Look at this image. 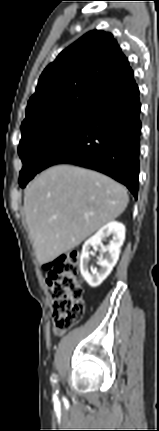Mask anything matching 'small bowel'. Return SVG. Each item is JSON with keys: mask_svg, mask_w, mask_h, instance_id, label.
<instances>
[{"mask_svg": "<svg viewBox=\"0 0 159 431\" xmlns=\"http://www.w3.org/2000/svg\"><path fill=\"white\" fill-rule=\"evenodd\" d=\"M53 333H54V335H56V336H61V335H63V334H64V330L59 329V328H57V327H54V328H53Z\"/></svg>", "mask_w": 159, "mask_h": 431, "instance_id": "small-bowel-1", "label": "small bowel"}]
</instances>
